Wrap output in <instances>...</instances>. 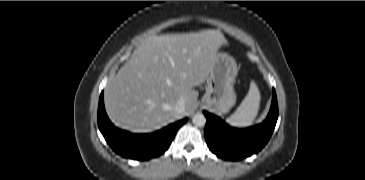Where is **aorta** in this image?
<instances>
[{
    "label": "aorta",
    "instance_id": "aorta-1",
    "mask_svg": "<svg viewBox=\"0 0 365 180\" xmlns=\"http://www.w3.org/2000/svg\"><path fill=\"white\" fill-rule=\"evenodd\" d=\"M193 124L199 127H203L206 124V117L202 113H196L192 118Z\"/></svg>",
    "mask_w": 365,
    "mask_h": 180
}]
</instances>
